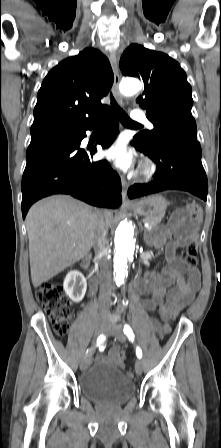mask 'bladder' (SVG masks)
Segmentation results:
<instances>
[{"instance_id":"1","label":"bladder","mask_w":221,"mask_h":448,"mask_svg":"<svg viewBox=\"0 0 221 448\" xmlns=\"http://www.w3.org/2000/svg\"><path fill=\"white\" fill-rule=\"evenodd\" d=\"M79 389L88 400L107 406H122L134 397V381L111 362L92 366L80 378Z\"/></svg>"}]
</instances>
